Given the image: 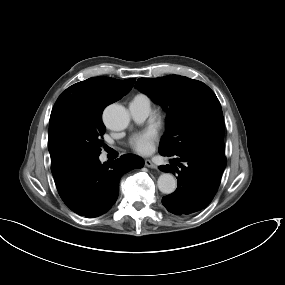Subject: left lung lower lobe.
Segmentation results:
<instances>
[{"instance_id":"obj_1","label":"left lung lower lobe","mask_w":285,"mask_h":285,"mask_svg":"<svg viewBox=\"0 0 285 285\" xmlns=\"http://www.w3.org/2000/svg\"><path fill=\"white\" fill-rule=\"evenodd\" d=\"M175 157L171 165L159 166L163 172L178 173L177 189L163 197L162 204L175 215H191L206 208L212 201L227 163L226 158L210 151H193Z\"/></svg>"}]
</instances>
